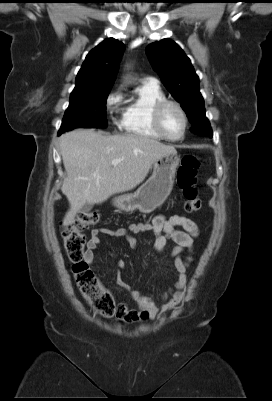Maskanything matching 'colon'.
I'll use <instances>...</instances> for the list:
<instances>
[{
	"label": "colon",
	"mask_w": 272,
	"mask_h": 401,
	"mask_svg": "<svg viewBox=\"0 0 272 401\" xmlns=\"http://www.w3.org/2000/svg\"><path fill=\"white\" fill-rule=\"evenodd\" d=\"M199 164L197 156L186 155L177 170V184L183 191L185 210L188 212H197L202 206L196 188ZM100 219L101 216L96 211L79 213L75 220L64 227V248L73 263L75 280L83 296L99 314L105 317L119 316L122 312L120 305L116 304L112 293L101 285L84 260L86 243L84 231L97 225Z\"/></svg>",
	"instance_id": "1"
}]
</instances>
